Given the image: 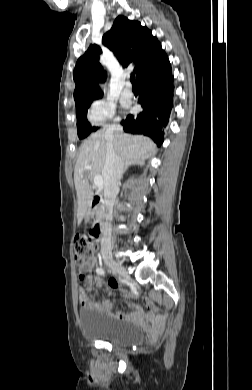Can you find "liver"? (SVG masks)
<instances>
[{
	"instance_id": "1",
	"label": "liver",
	"mask_w": 252,
	"mask_h": 390,
	"mask_svg": "<svg viewBox=\"0 0 252 390\" xmlns=\"http://www.w3.org/2000/svg\"><path fill=\"white\" fill-rule=\"evenodd\" d=\"M105 132L100 130L90 135L82 143L76 161L74 183L78 198V224L82 222L90 207L92 192L88 178L100 175L105 164L108 142ZM111 141L114 151L125 162L143 161L156 153L154 142L141 135L114 132ZM86 166H90L91 169L87 170Z\"/></svg>"
}]
</instances>
